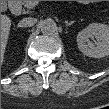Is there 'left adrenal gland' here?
<instances>
[{
  "label": "left adrenal gland",
  "instance_id": "1",
  "mask_svg": "<svg viewBox=\"0 0 109 109\" xmlns=\"http://www.w3.org/2000/svg\"><path fill=\"white\" fill-rule=\"evenodd\" d=\"M75 21H71V22H68V21H65V24L66 26H71Z\"/></svg>",
  "mask_w": 109,
  "mask_h": 109
}]
</instances>
